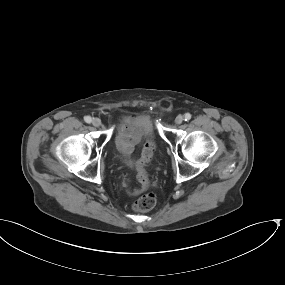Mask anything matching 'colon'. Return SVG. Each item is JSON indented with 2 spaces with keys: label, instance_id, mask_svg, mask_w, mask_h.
<instances>
[{
  "label": "colon",
  "instance_id": "1",
  "mask_svg": "<svg viewBox=\"0 0 285 285\" xmlns=\"http://www.w3.org/2000/svg\"><path fill=\"white\" fill-rule=\"evenodd\" d=\"M155 152V144L151 139H148L143 152L142 158L137 167V178L143 187H146L149 183L148 173L145 169L149 164ZM156 205V196L153 193H147L141 196L133 205L136 211L144 212L149 211Z\"/></svg>",
  "mask_w": 285,
  "mask_h": 285
}]
</instances>
